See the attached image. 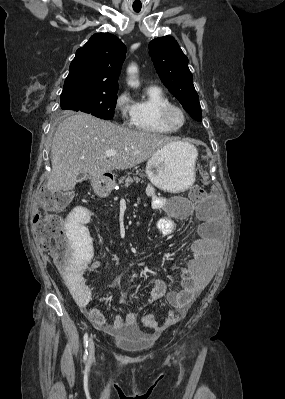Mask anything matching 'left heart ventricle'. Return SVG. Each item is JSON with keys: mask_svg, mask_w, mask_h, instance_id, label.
<instances>
[{"mask_svg": "<svg viewBox=\"0 0 285 399\" xmlns=\"http://www.w3.org/2000/svg\"><path fill=\"white\" fill-rule=\"evenodd\" d=\"M172 119H173V121H174L175 123H181V121H182V118H181L180 114L177 113V112H174V113H173Z\"/></svg>", "mask_w": 285, "mask_h": 399, "instance_id": "1", "label": "left heart ventricle"}]
</instances>
